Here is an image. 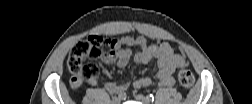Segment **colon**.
Instances as JSON below:
<instances>
[{
  "label": "colon",
  "instance_id": "5ec220e1",
  "mask_svg": "<svg viewBox=\"0 0 252 104\" xmlns=\"http://www.w3.org/2000/svg\"><path fill=\"white\" fill-rule=\"evenodd\" d=\"M117 45L116 40L100 35H93L76 43L66 60L67 70L71 74V85L78 87L83 81L94 76L95 69L85 64L84 59L105 58L116 51ZM178 80L183 87L190 88L195 78L190 70L181 68L178 72Z\"/></svg>",
  "mask_w": 252,
  "mask_h": 104
}]
</instances>
